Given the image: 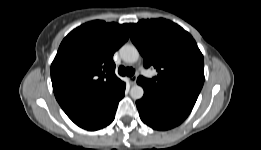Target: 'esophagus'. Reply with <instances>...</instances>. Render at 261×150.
<instances>
[{"label":"esophagus","instance_id":"34e87169","mask_svg":"<svg viewBox=\"0 0 261 150\" xmlns=\"http://www.w3.org/2000/svg\"><path fill=\"white\" fill-rule=\"evenodd\" d=\"M136 80H137V77H136V76H132V77L129 78V81H130V84H131V85H135Z\"/></svg>","mask_w":261,"mask_h":150}]
</instances>
